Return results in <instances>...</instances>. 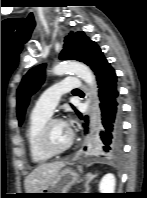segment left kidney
<instances>
[{"mask_svg":"<svg viewBox=\"0 0 147 198\" xmlns=\"http://www.w3.org/2000/svg\"><path fill=\"white\" fill-rule=\"evenodd\" d=\"M115 176L112 173L104 175L99 183L100 193H114L115 190Z\"/></svg>","mask_w":147,"mask_h":198,"instance_id":"1","label":"left kidney"}]
</instances>
